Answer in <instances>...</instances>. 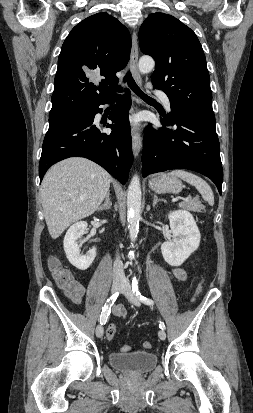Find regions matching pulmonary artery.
Returning a JSON list of instances; mask_svg holds the SVG:
<instances>
[{"label":"pulmonary artery","instance_id":"pulmonary-artery-1","mask_svg":"<svg viewBox=\"0 0 253 413\" xmlns=\"http://www.w3.org/2000/svg\"><path fill=\"white\" fill-rule=\"evenodd\" d=\"M156 96H158L161 101L164 103L165 107L170 110L171 109V102L169 97L161 90H156L155 91Z\"/></svg>","mask_w":253,"mask_h":413}]
</instances>
